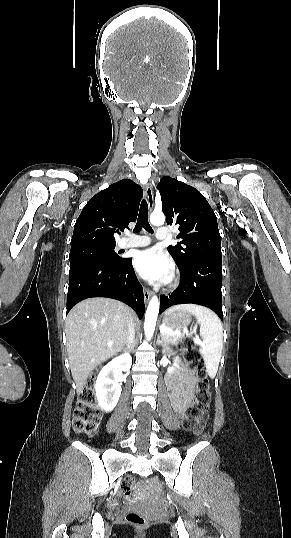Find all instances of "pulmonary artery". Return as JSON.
<instances>
[{
  "instance_id": "e3ab8cb5",
  "label": "pulmonary artery",
  "mask_w": 291,
  "mask_h": 538,
  "mask_svg": "<svg viewBox=\"0 0 291 538\" xmlns=\"http://www.w3.org/2000/svg\"><path fill=\"white\" fill-rule=\"evenodd\" d=\"M169 235L168 229L161 227L157 230L156 238L159 240L166 239ZM150 239L147 236H135L133 238L124 239L120 242L122 248L144 247L150 244Z\"/></svg>"
}]
</instances>
